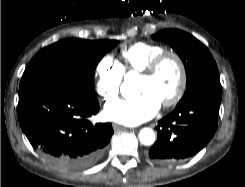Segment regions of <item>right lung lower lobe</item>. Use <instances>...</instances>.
<instances>
[{
  "instance_id": "1",
  "label": "right lung lower lobe",
  "mask_w": 245,
  "mask_h": 187,
  "mask_svg": "<svg viewBox=\"0 0 245 187\" xmlns=\"http://www.w3.org/2000/svg\"><path fill=\"white\" fill-rule=\"evenodd\" d=\"M99 111L96 97L56 84L19 92L18 118L31 145L52 164L80 170L96 163L113 134L110 123L89 121Z\"/></svg>"
}]
</instances>
